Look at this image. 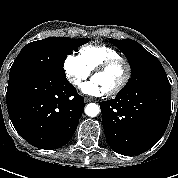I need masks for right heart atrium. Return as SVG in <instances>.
Wrapping results in <instances>:
<instances>
[{
    "instance_id": "right-heart-atrium-1",
    "label": "right heart atrium",
    "mask_w": 178,
    "mask_h": 178,
    "mask_svg": "<svg viewBox=\"0 0 178 178\" xmlns=\"http://www.w3.org/2000/svg\"><path fill=\"white\" fill-rule=\"evenodd\" d=\"M63 68L67 80L75 87H79L90 76V72L76 55H68Z\"/></svg>"
}]
</instances>
